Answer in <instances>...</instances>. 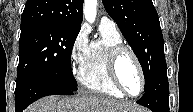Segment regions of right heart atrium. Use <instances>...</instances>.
Segmentation results:
<instances>
[{"mask_svg": "<svg viewBox=\"0 0 193 112\" xmlns=\"http://www.w3.org/2000/svg\"><path fill=\"white\" fill-rule=\"evenodd\" d=\"M89 48L88 31L81 27L75 35L69 50V65L73 73L82 68Z\"/></svg>", "mask_w": 193, "mask_h": 112, "instance_id": "1", "label": "right heart atrium"}]
</instances>
